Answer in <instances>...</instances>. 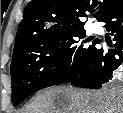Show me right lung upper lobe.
I'll return each mask as SVG.
<instances>
[{"instance_id":"obj_1","label":"right lung upper lobe","mask_w":123,"mask_h":113,"mask_svg":"<svg viewBox=\"0 0 123 113\" xmlns=\"http://www.w3.org/2000/svg\"><path fill=\"white\" fill-rule=\"evenodd\" d=\"M120 0H32L24 10L23 19L16 34L15 46L60 34L72 29L84 28L82 18L87 13L101 21L104 15Z\"/></svg>"}]
</instances>
